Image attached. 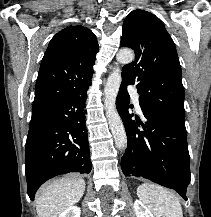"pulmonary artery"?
<instances>
[{"label": "pulmonary artery", "mask_w": 211, "mask_h": 217, "mask_svg": "<svg viewBox=\"0 0 211 217\" xmlns=\"http://www.w3.org/2000/svg\"><path fill=\"white\" fill-rule=\"evenodd\" d=\"M128 89H129V92L131 93V95L133 97V100H134L136 108L138 110H140V106H139V94H138V92L136 91V89L133 86H129Z\"/></svg>", "instance_id": "obj_1"}]
</instances>
